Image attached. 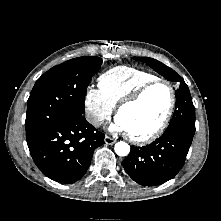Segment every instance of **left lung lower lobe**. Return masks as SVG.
<instances>
[{"mask_svg":"<svg viewBox=\"0 0 221 221\" xmlns=\"http://www.w3.org/2000/svg\"><path fill=\"white\" fill-rule=\"evenodd\" d=\"M194 134L164 132L149 145L131 147L122 162L127 174L137 183L156 186L173 178L182 168Z\"/></svg>","mask_w":221,"mask_h":221,"instance_id":"1","label":"left lung lower lobe"}]
</instances>
